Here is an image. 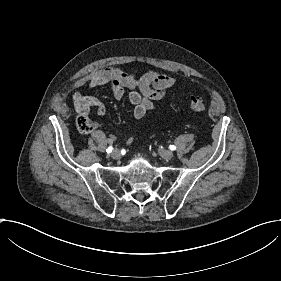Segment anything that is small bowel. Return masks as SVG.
<instances>
[{
  "label": "small bowel",
  "instance_id": "1",
  "mask_svg": "<svg viewBox=\"0 0 281 281\" xmlns=\"http://www.w3.org/2000/svg\"><path fill=\"white\" fill-rule=\"evenodd\" d=\"M174 84V78L158 71H149L141 77H135L119 68L105 67L78 79L73 87L78 90L84 86L110 85L116 100L123 99L125 89H128V101L135 106L133 114L135 117L141 118L146 112L153 109L154 102L163 98L167 90ZM72 101L79 114H86L90 107L97 108L100 115L106 112V106L97 96L85 97L80 91H76ZM128 142H131V139Z\"/></svg>",
  "mask_w": 281,
  "mask_h": 281
}]
</instances>
